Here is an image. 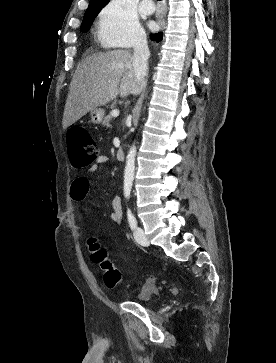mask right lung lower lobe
I'll use <instances>...</instances> for the list:
<instances>
[{
	"instance_id": "1",
	"label": "right lung lower lobe",
	"mask_w": 276,
	"mask_h": 363,
	"mask_svg": "<svg viewBox=\"0 0 276 363\" xmlns=\"http://www.w3.org/2000/svg\"><path fill=\"white\" fill-rule=\"evenodd\" d=\"M150 38H151V40H152V41H157V42H159V41H161V40H162V33H161V32H159L158 34H151V35H150Z\"/></svg>"
}]
</instances>
